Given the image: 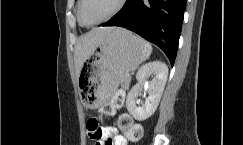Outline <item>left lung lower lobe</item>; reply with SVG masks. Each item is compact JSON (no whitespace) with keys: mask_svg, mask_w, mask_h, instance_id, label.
Listing matches in <instances>:
<instances>
[{"mask_svg":"<svg viewBox=\"0 0 243 145\" xmlns=\"http://www.w3.org/2000/svg\"><path fill=\"white\" fill-rule=\"evenodd\" d=\"M186 0H126L123 8L102 26L129 29L159 46L173 66Z\"/></svg>","mask_w":243,"mask_h":145,"instance_id":"0a47b994","label":"left lung lower lobe"}]
</instances>
